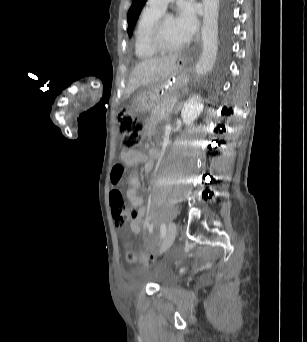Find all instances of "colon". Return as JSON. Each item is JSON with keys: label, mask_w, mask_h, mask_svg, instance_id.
<instances>
[{"label": "colon", "mask_w": 307, "mask_h": 342, "mask_svg": "<svg viewBox=\"0 0 307 342\" xmlns=\"http://www.w3.org/2000/svg\"><path fill=\"white\" fill-rule=\"evenodd\" d=\"M118 132L122 137V146L126 149H136L140 146L143 139V124L134 118L127 109H122L118 113ZM125 179L124 164L116 163L113 165L110 175V182L112 185L110 191V204L112 208V215L114 221L119 226H124L131 222L135 217V209L127 205L118 186ZM141 255V252H138ZM129 262L134 263L138 260V256L130 252L127 256ZM143 266L153 264L155 262L154 256L139 258Z\"/></svg>", "instance_id": "colon-1"}]
</instances>
